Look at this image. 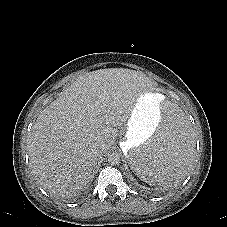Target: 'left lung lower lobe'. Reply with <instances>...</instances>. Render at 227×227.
I'll use <instances>...</instances> for the list:
<instances>
[{"label": "left lung lower lobe", "instance_id": "1", "mask_svg": "<svg viewBox=\"0 0 227 227\" xmlns=\"http://www.w3.org/2000/svg\"><path fill=\"white\" fill-rule=\"evenodd\" d=\"M177 124H178V121H177L176 125H177ZM175 135H176V136H175V137H176V138H175L176 143L173 145V147H175L176 145L179 146V145H181V143H183V142L186 141L185 138L179 136L177 133H176Z\"/></svg>", "mask_w": 227, "mask_h": 227}]
</instances>
